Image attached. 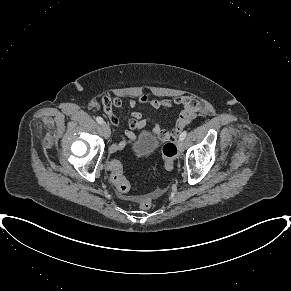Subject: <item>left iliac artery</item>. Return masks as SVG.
I'll use <instances>...</instances> for the list:
<instances>
[{
    "instance_id": "1",
    "label": "left iliac artery",
    "mask_w": 291,
    "mask_h": 291,
    "mask_svg": "<svg viewBox=\"0 0 291 291\" xmlns=\"http://www.w3.org/2000/svg\"><path fill=\"white\" fill-rule=\"evenodd\" d=\"M186 135H187V131H183V132L180 134L179 139H180V140H184L185 137H186Z\"/></svg>"
}]
</instances>
